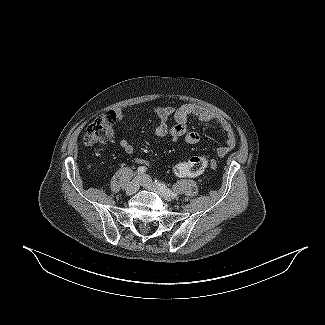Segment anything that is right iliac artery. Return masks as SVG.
I'll list each match as a JSON object with an SVG mask.
<instances>
[{
  "mask_svg": "<svg viewBox=\"0 0 325 325\" xmlns=\"http://www.w3.org/2000/svg\"><path fill=\"white\" fill-rule=\"evenodd\" d=\"M146 167H143V166H140L139 168H138V174H143V173H145L146 172Z\"/></svg>",
  "mask_w": 325,
  "mask_h": 325,
  "instance_id": "1",
  "label": "right iliac artery"
}]
</instances>
